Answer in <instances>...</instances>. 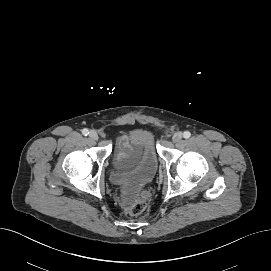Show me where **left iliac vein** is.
<instances>
[{
    "instance_id": "1",
    "label": "left iliac vein",
    "mask_w": 271,
    "mask_h": 271,
    "mask_svg": "<svg viewBox=\"0 0 271 271\" xmlns=\"http://www.w3.org/2000/svg\"><path fill=\"white\" fill-rule=\"evenodd\" d=\"M182 137H183V134L181 132H176L173 135L172 140H173L174 143H178V142L181 141Z\"/></svg>"
}]
</instances>
